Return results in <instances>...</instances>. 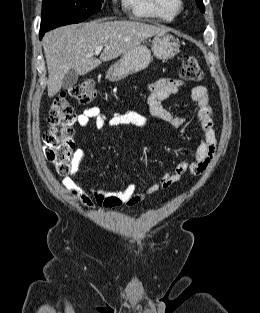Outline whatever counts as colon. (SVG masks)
Instances as JSON below:
<instances>
[{
    "label": "colon",
    "mask_w": 260,
    "mask_h": 313,
    "mask_svg": "<svg viewBox=\"0 0 260 313\" xmlns=\"http://www.w3.org/2000/svg\"><path fill=\"white\" fill-rule=\"evenodd\" d=\"M182 76L188 81L198 82L204 73L195 57H185L182 61ZM97 95L93 79H86L67 91L58 93L49 110V128L43 134L44 154L61 175L70 171L75 157L73 142L76 114L68 97L80 103H89Z\"/></svg>",
    "instance_id": "1"
}]
</instances>
